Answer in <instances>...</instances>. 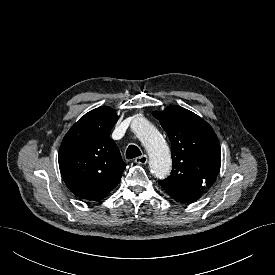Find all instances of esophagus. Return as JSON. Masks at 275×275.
Listing matches in <instances>:
<instances>
[{"label": "esophagus", "mask_w": 275, "mask_h": 275, "mask_svg": "<svg viewBox=\"0 0 275 275\" xmlns=\"http://www.w3.org/2000/svg\"><path fill=\"white\" fill-rule=\"evenodd\" d=\"M135 163H137V164H142V165H144V164H146L147 162H148V157H147V155H142V156H140V157H137V158H135Z\"/></svg>", "instance_id": "esophagus-1"}]
</instances>
